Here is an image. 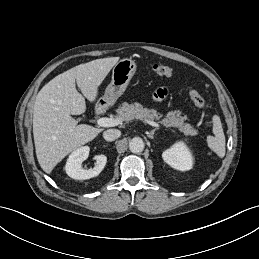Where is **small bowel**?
Instances as JSON below:
<instances>
[{
	"instance_id": "obj_1",
	"label": "small bowel",
	"mask_w": 259,
	"mask_h": 259,
	"mask_svg": "<svg viewBox=\"0 0 259 259\" xmlns=\"http://www.w3.org/2000/svg\"><path fill=\"white\" fill-rule=\"evenodd\" d=\"M167 91L165 88L159 89L156 94H155V98L156 99H161L166 95Z\"/></svg>"
}]
</instances>
